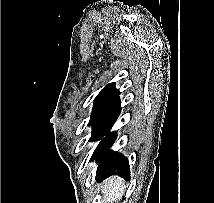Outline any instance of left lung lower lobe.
Instances as JSON below:
<instances>
[{"instance_id": "1", "label": "left lung lower lobe", "mask_w": 214, "mask_h": 203, "mask_svg": "<svg viewBox=\"0 0 214 203\" xmlns=\"http://www.w3.org/2000/svg\"><path fill=\"white\" fill-rule=\"evenodd\" d=\"M121 111L119 96L97 117L91 124L92 135L90 140L97 141L105 136L95 149L90 161L97 160V179H105L111 175L130 178L128 159L121 153L110 150L117 131L109 132Z\"/></svg>"}]
</instances>
